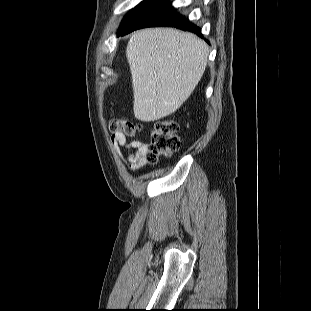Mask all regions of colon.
<instances>
[{
  "instance_id": "obj_1",
  "label": "colon",
  "mask_w": 311,
  "mask_h": 311,
  "mask_svg": "<svg viewBox=\"0 0 311 311\" xmlns=\"http://www.w3.org/2000/svg\"><path fill=\"white\" fill-rule=\"evenodd\" d=\"M111 131L120 132L126 136H133L142 130V125L124 118H111L108 120ZM177 123L172 119H163L157 122L151 131L150 147L147 162L155 163L161 157H167L180 147L177 135Z\"/></svg>"
}]
</instances>
